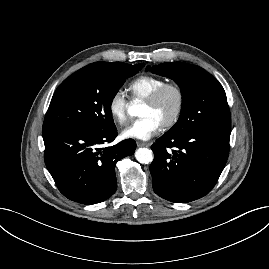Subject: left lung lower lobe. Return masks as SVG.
<instances>
[{"instance_id": "0a47b994", "label": "left lung lower lobe", "mask_w": 269, "mask_h": 269, "mask_svg": "<svg viewBox=\"0 0 269 269\" xmlns=\"http://www.w3.org/2000/svg\"><path fill=\"white\" fill-rule=\"evenodd\" d=\"M229 140V128H199L184 135L164 134L151 147L154 192L176 203L207 195L225 167ZM166 148L174 149L171 152Z\"/></svg>"}]
</instances>
